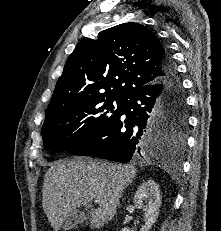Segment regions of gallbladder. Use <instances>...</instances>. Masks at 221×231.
<instances>
[{"instance_id":"gallbladder-1","label":"gallbladder","mask_w":221,"mask_h":231,"mask_svg":"<svg viewBox=\"0 0 221 231\" xmlns=\"http://www.w3.org/2000/svg\"><path fill=\"white\" fill-rule=\"evenodd\" d=\"M89 216L80 210H74L71 212L65 221V224L63 226L65 231H69L70 229L76 227L78 224H81L85 221H87Z\"/></svg>"}]
</instances>
